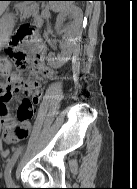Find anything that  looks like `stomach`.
Masks as SVG:
<instances>
[{
	"instance_id": "obj_1",
	"label": "stomach",
	"mask_w": 137,
	"mask_h": 189,
	"mask_svg": "<svg viewBox=\"0 0 137 189\" xmlns=\"http://www.w3.org/2000/svg\"><path fill=\"white\" fill-rule=\"evenodd\" d=\"M13 26H14V21L12 15L10 14L3 15L0 18V39H2L3 36L8 37L9 34L11 33Z\"/></svg>"
}]
</instances>
